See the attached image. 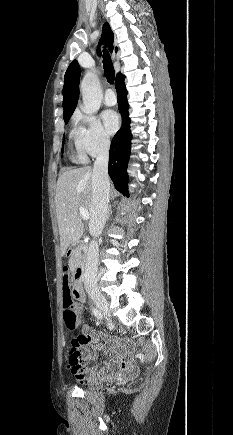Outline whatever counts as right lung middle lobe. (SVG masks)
<instances>
[{
  "label": "right lung middle lobe",
  "mask_w": 233,
  "mask_h": 435,
  "mask_svg": "<svg viewBox=\"0 0 233 435\" xmlns=\"http://www.w3.org/2000/svg\"><path fill=\"white\" fill-rule=\"evenodd\" d=\"M70 117H71V116H66V117H64L65 124L68 123V120H69ZM62 152H63V148H62Z\"/></svg>",
  "instance_id": "1"
}]
</instances>
